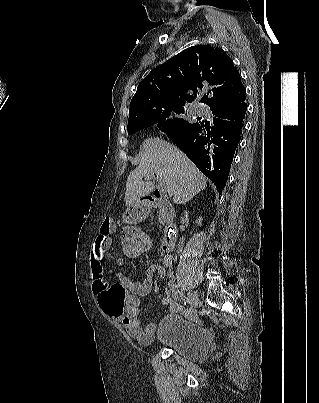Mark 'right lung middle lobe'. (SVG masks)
Listing matches in <instances>:
<instances>
[{
	"instance_id": "1",
	"label": "right lung middle lobe",
	"mask_w": 319,
	"mask_h": 403,
	"mask_svg": "<svg viewBox=\"0 0 319 403\" xmlns=\"http://www.w3.org/2000/svg\"><path fill=\"white\" fill-rule=\"evenodd\" d=\"M183 110V105L178 104H168L151 108L140 117L128 121V134H133L142 128L152 126L155 123H159L158 127L160 129L161 126L165 128L167 134L183 131L192 124L184 119L177 118L165 121L172 111L175 113H183Z\"/></svg>"
}]
</instances>
